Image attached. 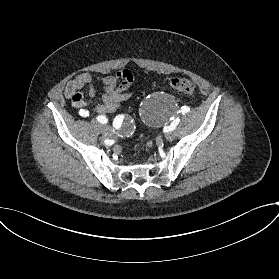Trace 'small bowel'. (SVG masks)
<instances>
[{"label": "small bowel", "mask_w": 279, "mask_h": 279, "mask_svg": "<svg viewBox=\"0 0 279 279\" xmlns=\"http://www.w3.org/2000/svg\"><path fill=\"white\" fill-rule=\"evenodd\" d=\"M132 81L133 75L127 69L121 70L115 75L97 77L90 73H81L67 84L65 96L71 100L73 107L83 117H88L90 115V111L87 109L89 102L82 89H87V96L89 98H95L97 96L95 83H101L104 85V92L101 95V102L96 104L93 110L98 114H109L116 111L122 102L134 95L133 91H128Z\"/></svg>", "instance_id": "c3829d8e"}]
</instances>
